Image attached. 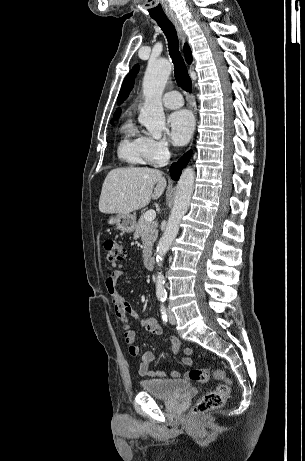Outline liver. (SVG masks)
<instances>
[{
	"mask_svg": "<svg viewBox=\"0 0 305 461\" xmlns=\"http://www.w3.org/2000/svg\"><path fill=\"white\" fill-rule=\"evenodd\" d=\"M162 172L147 167L116 168L103 183L99 199L102 213L130 214L158 199L166 188Z\"/></svg>",
	"mask_w": 305,
	"mask_h": 461,
	"instance_id": "1",
	"label": "liver"
}]
</instances>
